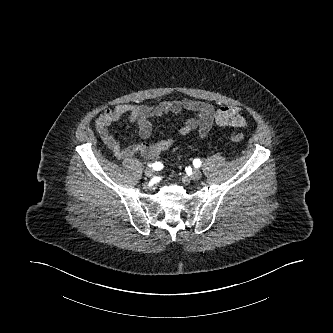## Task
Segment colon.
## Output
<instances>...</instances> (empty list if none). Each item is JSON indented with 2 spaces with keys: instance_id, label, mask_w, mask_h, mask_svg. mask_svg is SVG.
<instances>
[{
  "instance_id": "obj_1",
  "label": "colon",
  "mask_w": 333,
  "mask_h": 333,
  "mask_svg": "<svg viewBox=\"0 0 333 333\" xmlns=\"http://www.w3.org/2000/svg\"><path fill=\"white\" fill-rule=\"evenodd\" d=\"M230 139L234 143H240L243 140V136L240 133H233Z\"/></svg>"
}]
</instances>
